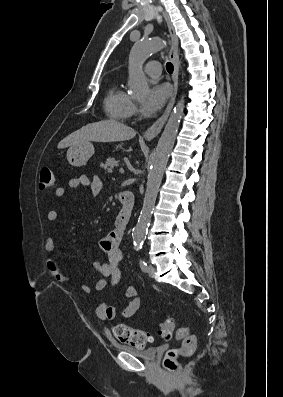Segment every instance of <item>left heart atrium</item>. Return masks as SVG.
<instances>
[{"instance_id": "39dd6f15", "label": "left heart atrium", "mask_w": 283, "mask_h": 397, "mask_svg": "<svg viewBox=\"0 0 283 397\" xmlns=\"http://www.w3.org/2000/svg\"><path fill=\"white\" fill-rule=\"evenodd\" d=\"M170 95V87L166 84H157L153 86L148 94V97L142 105L144 112L152 114L162 108Z\"/></svg>"}]
</instances>
